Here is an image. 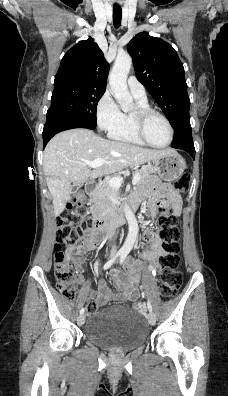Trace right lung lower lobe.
I'll return each instance as SVG.
<instances>
[{
    "instance_id": "obj_1",
    "label": "right lung lower lobe",
    "mask_w": 228,
    "mask_h": 396,
    "mask_svg": "<svg viewBox=\"0 0 228 396\" xmlns=\"http://www.w3.org/2000/svg\"><path fill=\"white\" fill-rule=\"evenodd\" d=\"M73 128H87L91 130L95 129V127L92 126L90 123L73 117L71 115L61 112L47 113V120L43 129L44 147L55 134Z\"/></svg>"
}]
</instances>
